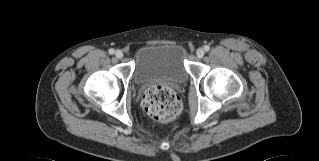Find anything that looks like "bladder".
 Listing matches in <instances>:
<instances>
[{
  "instance_id": "1",
  "label": "bladder",
  "mask_w": 319,
  "mask_h": 161,
  "mask_svg": "<svg viewBox=\"0 0 319 161\" xmlns=\"http://www.w3.org/2000/svg\"><path fill=\"white\" fill-rule=\"evenodd\" d=\"M134 77L138 84L184 83L188 79L186 51L177 43L147 44L134 55Z\"/></svg>"
}]
</instances>
